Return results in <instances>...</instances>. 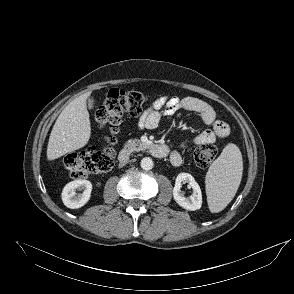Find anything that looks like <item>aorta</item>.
Wrapping results in <instances>:
<instances>
[{
  "instance_id": "aorta-1",
  "label": "aorta",
  "mask_w": 294,
  "mask_h": 294,
  "mask_svg": "<svg viewBox=\"0 0 294 294\" xmlns=\"http://www.w3.org/2000/svg\"><path fill=\"white\" fill-rule=\"evenodd\" d=\"M140 164L144 170H151L154 165L153 160L150 157L143 158Z\"/></svg>"
}]
</instances>
